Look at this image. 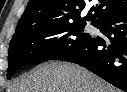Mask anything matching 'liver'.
Instances as JSON below:
<instances>
[{
    "instance_id": "obj_1",
    "label": "liver",
    "mask_w": 127,
    "mask_h": 92,
    "mask_svg": "<svg viewBox=\"0 0 127 92\" xmlns=\"http://www.w3.org/2000/svg\"><path fill=\"white\" fill-rule=\"evenodd\" d=\"M8 92H119L87 69L53 61L37 66Z\"/></svg>"
}]
</instances>
